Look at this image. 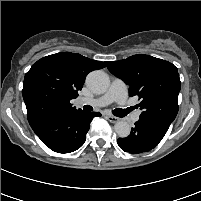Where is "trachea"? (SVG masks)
<instances>
[{
    "mask_svg": "<svg viewBox=\"0 0 201 201\" xmlns=\"http://www.w3.org/2000/svg\"><path fill=\"white\" fill-rule=\"evenodd\" d=\"M83 109H84L85 111H92V110H93V108H92L90 105H84V106H83ZM130 111H131L130 109H126V110H124V109H115V110H113L112 112H113V114H114L115 116L124 117V116L127 115Z\"/></svg>",
    "mask_w": 201,
    "mask_h": 201,
    "instance_id": "trachea-1",
    "label": "trachea"
}]
</instances>
